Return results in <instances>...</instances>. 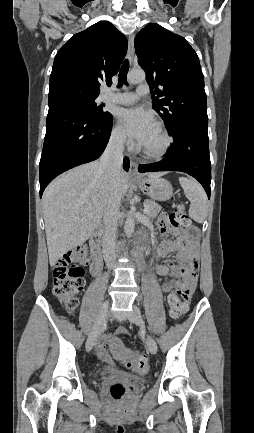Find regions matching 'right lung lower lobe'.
I'll list each match as a JSON object with an SVG mask.
<instances>
[{
	"label": "right lung lower lobe",
	"mask_w": 254,
	"mask_h": 433,
	"mask_svg": "<svg viewBox=\"0 0 254 433\" xmlns=\"http://www.w3.org/2000/svg\"><path fill=\"white\" fill-rule=\"evenodd\" d=\"M112 129V115L93 117L81 108L49 106L46 135L39 164L40 198L46 186L59 174L97 159L106 148ZM129 159L123 167L129 170Z\"/></svg>",
	"instance_id": "obj_1"
}]
</instances>
